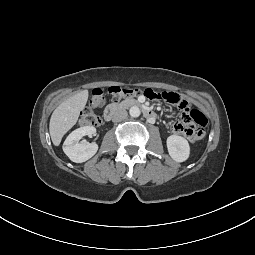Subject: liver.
<instances>
[{"mask_svg":"<svg viewBox=\"0 0 255 255\" xmlns=\"http://www.w3.org/2000/svg\"><path fill=\"white\" fill-rule=\"evenodd\" d=\"M87 99L88 93L82 91L67 98L54 110L50 118L49 132L55 146H59L62 137L76 124Z\"/></svg>","mask_w":255,"mask_h":255,"instance_id":"obj_1","label":"liver"}]
</instances>
